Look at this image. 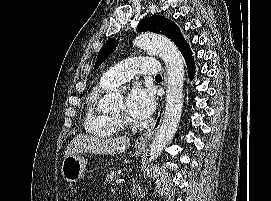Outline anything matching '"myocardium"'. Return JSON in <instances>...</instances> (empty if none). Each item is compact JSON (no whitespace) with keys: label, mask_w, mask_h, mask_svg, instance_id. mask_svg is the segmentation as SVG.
<instances>
[{"label":"myocardium","mask_w":271,"mask_h":201,"mask_svg":"<svg viewBox=\"0 0 271 201\" xmlns=\"http://www.w3.org/2000/svg\"><path fill=\"white\" fill-rule=\"evenodd\" d=\"M119 117H124V115L121 114V115H119Z\"/></svg>","instance_id":"obj_1"}]
</instances>
